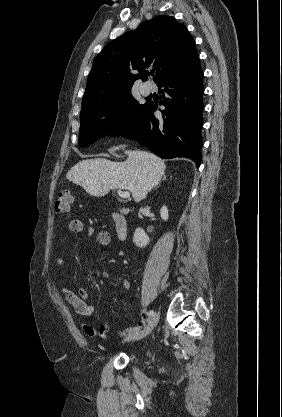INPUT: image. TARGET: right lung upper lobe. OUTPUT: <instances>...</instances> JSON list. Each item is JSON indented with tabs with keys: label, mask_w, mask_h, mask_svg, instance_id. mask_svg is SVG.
Returning a JSON list of instances; mask_svg holds the SVG:
<instances>
[{
	"label": "right lung upper lobe",
	"mask_w": 282,
	"mask_h": 417,
	"mask_svg": "<svg viewBox=\"0 0 282 417\" xmlns=\"http://www.w3.org/2000/svg\"><path fill=\"white\" fill-rule=\"evenodd\" d=\"M197 59L195 41L187 28L172 16L160 15L103 48L93 62L83 99L129 90L149 67L156 70L154 82L158 84Z\"/></svg>",
	"instance_id": "1"
}]
</instances>
